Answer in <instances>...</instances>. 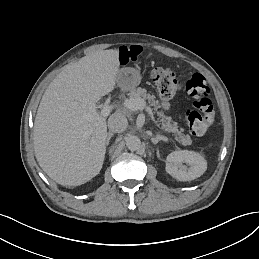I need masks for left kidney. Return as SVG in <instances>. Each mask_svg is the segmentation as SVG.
I'll use <instances>...</instances> for the list:
<instances>
[{
	"mask_svg": "<svg viewBox=\"0 0 259 259\" xmlns=\"http://www.w3.org/2000/svg\"><path fill=\"white\" fill-rule=\"evenodd\" d=\"M206 169V162L202 156L187 151L170 153L165 164L166 172L180 181L194 180L200 177Z\"/></svg>",
	"mask_w": 259,
	"mask_h": 259,
	"instance_id": "left-kidney-1",
	"label": "left kidney"
}]
</instances>
